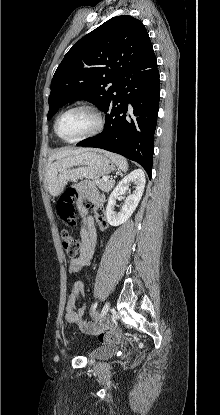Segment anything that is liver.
I'll list each match as a JSON object with an SVG mask.
<instances>
[{"label":"liver","mask_w":220,"mask_h":415,"mask_svg":"<svg viewBox=\"0 0 220 415\" xmlns=\"http://www.w3.org/2000/svg\"><path fill=\"white\" fill-rule=\"evenodd\" d=\"M84 151H86V150L85 149H66V150H62V151H59V152L55 153L50 158L49 161L51 162L53 159H62L64 157L71 156V155H76V154H79V153L84 152Z\"/></svg>","instance_id":"6515ba94"}]
</instances>
